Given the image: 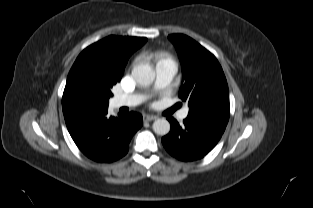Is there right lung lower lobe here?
Here are the masks:
<instances>
[{"label": "right lung lower lobe", "instance_id": "1", "mask_svg": "<svg viewBox=\"0 0 313 208\" xmlns=\"http://www.w3.org/2000/svg\"><path fill=\"white\" fill-rule=\"evenodd\" d=\"M68 131L80 151L96 162H113L128 152L132 136L142 126L139 113L108 116V106H63Z\"/></svg>", "mask_w": 313, "mask_h": 208}]
</instances>
